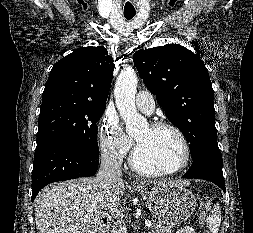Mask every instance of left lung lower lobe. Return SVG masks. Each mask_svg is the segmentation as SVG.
<instances>
[{
	"label": "left lung lower lobe",
	"mask_w": 253,
	"mask_h": 233,
	"mask_svg": "<svg viewBox=\"0 0 253 233\" xmlns=\"http://www.w3.org/2000/svg\"><path fill=\"white\" fill-rule=\"evenodd\" d=\"M222 155L212 152H203L193 159V164L183 178L204 179L213 182L225 192V183L222 172Z\"/></svg>",
	"instance_id": "left-lung-lower-lobe-1"
}]
</instances>
